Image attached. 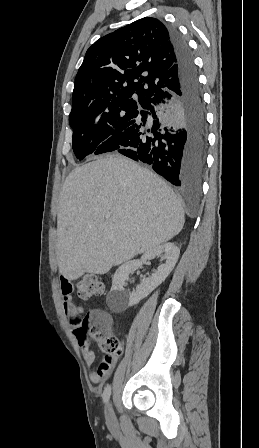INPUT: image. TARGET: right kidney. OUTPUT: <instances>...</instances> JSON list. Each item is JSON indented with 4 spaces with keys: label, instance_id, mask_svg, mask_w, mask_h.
<instances>
[{
    "label": "right kidney",
    "instance_id": "ca27d5eb",
    "mask_svg": "<svg viewBox=\"0 0 259 448\" xmlns=\"http://www.w3.org/2000/svg\"><path fill=\"white\" fill-rule=\"evenodd\" d=\"M161 260H166L165 264H160L155 274L149 276V278H144L141 280V284L137 286L136 290L133 292H128L123 288L129 274L141 268L143 264H146L148 260H154L156 256H160ZM180 250L172 244V242H166V244H161V246H156L153 250H149L146 254H143L141 260H132V262H125L122 264L118 270H116L112 282V288L107 296L108 308L114 314H119V312H124L129 306H135L143 298H147L155 288H158L170 272H172L178 258Z\"/></svg>",
    "mask_w": 259,
    "mask_h": 448
}]
</instances>
